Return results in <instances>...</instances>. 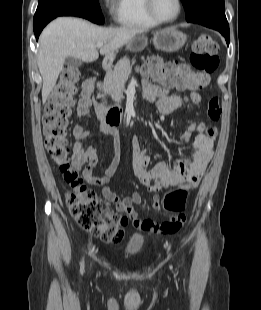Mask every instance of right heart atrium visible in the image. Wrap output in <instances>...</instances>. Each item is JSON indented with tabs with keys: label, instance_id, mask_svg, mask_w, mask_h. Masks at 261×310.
<instances>
[{
	"label": "right heart atrium",
	"instance_id": "d8ad5b80",
	"mask_svg": "<svg viewBox=\"0 0 261 310\" xmlns=\"http://www.w3.org/2000/svg\"><path fill=\"white\" fill-rule=\"evenodd\" d=\"M109 1H110V0H102V3H103L104 5H106V6H107V5H108V3H109Z\"/></svg>",
	"mask_w": 261,
	"mask_h": 310
}]
</instances>
